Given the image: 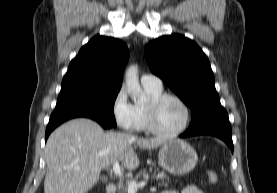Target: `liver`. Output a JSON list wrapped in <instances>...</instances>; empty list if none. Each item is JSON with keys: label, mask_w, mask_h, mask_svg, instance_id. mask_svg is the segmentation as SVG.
Returning <instances> with one entry per match:
<instances>
[{"label": "liver", "mask_w": 277, "mask_h": 193, "mask_svg": "<svg viewBox=\"0 0 277 193\" xmlns=\"http://www.w3.org/2000/svg\"><path fill=\"white\" fill-rule=\"evenodd\" d=\"M165 142L162 138L105 133L90 119L71 120L58 127L47 140L44 193H87L106 166L116 161L128 170L139 166L133 144L142 149H154Z\"/></svg>", "instance_id": "liver-1"}]
</instances>
